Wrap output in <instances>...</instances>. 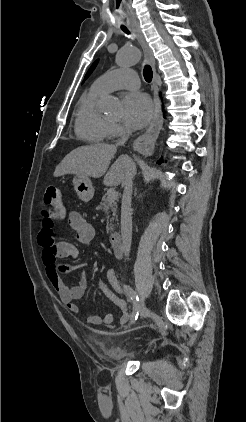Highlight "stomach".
<instances>
[{
  "mask_svg": "<svg viewBox=\"0 0 246 422\" xmlns=\"http://www.w3.org/2000/svg\"><path fill=\"white\" fill-rule=\"evenodd\" d=\"M74 189L78 197L85 202L91 200L94 196V188L88 177L75 175L73 178Z\"/></svg>",
  "mask_w": 246,
  "mask_h": 422,
  "instance_id": "obj_1",
  "label": "stomach"
}]
</instances>
